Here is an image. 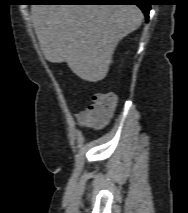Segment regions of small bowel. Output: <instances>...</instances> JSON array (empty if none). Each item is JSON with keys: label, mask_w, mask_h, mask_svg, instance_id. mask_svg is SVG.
Returning <instances> with one entry per match:
<instances>
[{"label": "small bowel", "mask_w": 188, "mask_h": 213, "mask_svg": "<svg viewBox=\"0 0 188 213\" xmlns=\"http://www.w3.org/2000/svg\"><path fill=\"white\" fill-rule=\"evenodd\" d=\"M77 120L80 125L88 126L94 124L88 115V109H84L77 114ZM103 123V122H102Z\"/></svg>", "instance_id": "small-bowel-1"}]
</instances>
